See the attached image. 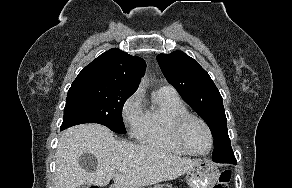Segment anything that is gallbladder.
<instances>
[{
  "instance_id": "bac80fb5",
  "label": "gallbladder",
  "mask_w": 292,
  "mask_h": 188,
  "mask_svg": "<svg viewBox=\"0 0 292 188\" xmlns=\"http://www.w3.org/2000/svg\"><path fill=\"white\" fill-rule=\"evenodd\" d=\"M91 185L90 184H82L78 186L77 188H89Z\"/></svg>"
}]
</instances>
